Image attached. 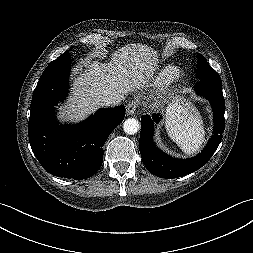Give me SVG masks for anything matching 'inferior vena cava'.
Returning a JSON list of instances; mask_svg holds the SVG:
<instances>
[{"label": "inferior vena cava", "mask_w": 253, "mask_h": 253, "mask_svg": "<svg viewBox=\"0 0 253 253\" xmlns=\"http://www.w3.org/2000/svg\"><path fill=\"white\" fill-rule=\"evenodd\" d=\"M121 99L119 97L114 96H100L98 97V102L102 106L106 107H114L120 103Z\"/></svg>", "instance_id": "1"}]
</instances>
